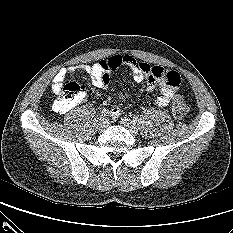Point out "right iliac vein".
Segmentation results:
<instances>
[{"mask_svg": "<svg viewBox=\"0 0 233 233\" xmlns=\"http://www.w3.org/2000/svg\"><path fill=\"white\" fill-rule=\"evenodd\" d=\"M108 120L105 119V118H100L99 121H98V129L99 130H103L105 129L107 126H108Z\"/></svg>", "mask_w": 233, "mask_h": 233, "instance_id": "obj_1", "label": "right iliac vein"}]
</instances>
